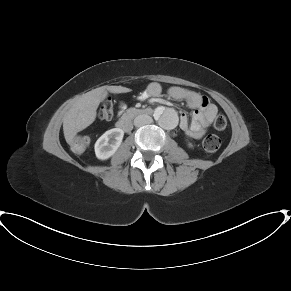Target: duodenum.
Masks as SVG:
<instances>
[{
  "label": "duodenum",
  "mask_w": 291,
  "mask_h": 291,
  "mask_svg": "<svg viewBox=\"0 0 291 291\" xmlns=\"http://www.w3.org/2000/svg\"><path fill=\"white\" fill-rule=\"evenodd\" d=\"M153 113L151 108H133L127 110L117 123L118 128L123 132L130 130V119L134 116H146Z\"/></svg>",
  "instance_id": "1"
}]
</instances>
